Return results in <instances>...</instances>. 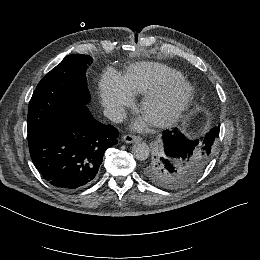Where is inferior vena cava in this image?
Here are the masks:
<instances>
[{"label": "inferior vena cava", "mask_w": 260, "mask_h": 260, "mask_svg": "<svg viewBox=\"0 0 260 260\" xmlns=\"http://www.w3.org/2000/svg\"><path fill=\"white\" fill-rule=\"evenodd\" d=\"M103 114L108 119L114 122H121L123 120L122 110L117 106H108L104 109Z\"/></svg>", "instance_id": "1"}]
</instances>
